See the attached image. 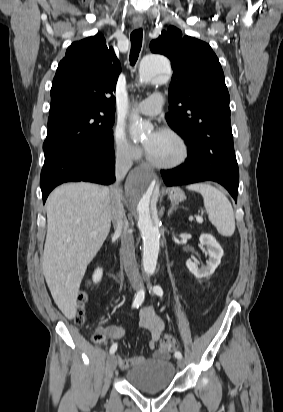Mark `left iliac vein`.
<instances>
[{
  "label": "left iliac vein",
  "mask_w": 283,
  "mask_h": 412,
  "mask_svg": "<svg viewBox=\"0 0 283 412\" xmlns=\"http://www.w3.org/2000/svg\"><path fill=\"white\" fill-rule=\"evenodd\" d=\"M178 366L181 367V368H183L185 366V362H184L183 359L178 360Z\"/></svg>",
  "instance_id": "left-iliac-vein-1"
}]
</instances>
